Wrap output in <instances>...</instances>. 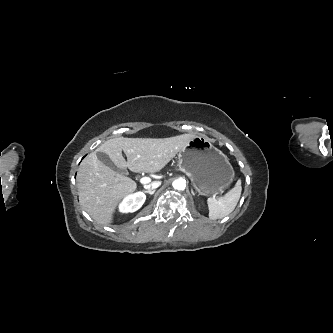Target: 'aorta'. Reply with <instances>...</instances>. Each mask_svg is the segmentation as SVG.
<instances>
[{"instance_id": "1", "label": "aorta", "mask_w": 333, "mask_h": 333, "mask_svg": "<svg viewBox=\"0 0 333 333\" xmlns=\"http://www.w3.org/2000/svg\"><path fill=\"white\" fill-rule=\"evenodd\" d=\"M186 187V183L183 179H178L173 182V188L176 190H184Z\"/></svg>"}]
</instances>
